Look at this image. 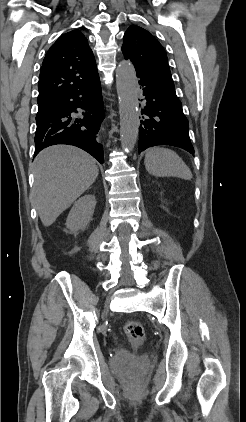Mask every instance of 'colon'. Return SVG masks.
Listing matches in <instances>:
<instances>
[{
	"instance_id": "5ec220e1",
	"label": "colon",
	"mask_w": 246,
	"mask_h": 422,
	"mask_svg": "<svg viewBox=\"0 0 246 422\" xmlns=\"http://www.w3.org/2000/svg\"><path fill=\"white\" fill-rule=\"evenodd\" d=\"M124 332L128 341L135 347L141 346L145 341V330L136 320H128L124 325Z\"/></svg>"
}]
</instances>
